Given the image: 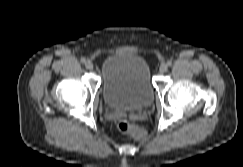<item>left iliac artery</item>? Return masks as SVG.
Here are the masks:
<instances>
[{
	"mask_svg": "<svg viewBox=\"0 0 243 167\" xmlns=\"http://www.w3.org/2000/svg\"><path fill=\"white\" fill-rule=\"evenodd\" d=\"M167 65H168V66H171V65H172V62H171V61H168V62H167Z\"/></svg>",
	"mask_w": 243,
	"mask_h": 167,
	"instance_id": "obj_1",
	"label": "left iliac artery"
}]
</instances>
